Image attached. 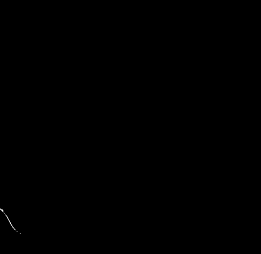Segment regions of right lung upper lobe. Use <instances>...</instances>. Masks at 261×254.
Listing matches in <instances>:
<instances>
[{"label": "right lung upper lobe", "mask_w": 261, "mask_h": 254, "mask_svg": "<svg viewBox=\"0 0 261 254\" xmlns=\"http://www.w3.org/2000/svg\"><path fill=\"white\" fill-rule=\"evenodd\" d=\"M56 122H61L58 118L55 117L54 115V110L52 109V113H51V118H50V122H49V127ZM48 127V128H49Z\"/></svg>", "instance_id": "obj_1"}]
</instances>
